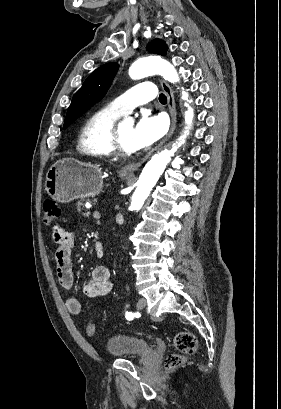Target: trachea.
<instances>
[{
	"mask_svg": "<svg viewBox=\"0 0 281 409\" xmlns=\"http://www.w3.org/2000/svg\"><path fill=\"white\" fill-rule=\"evenodd\" d=\"M159 101H160L161 103H167V97H166V95H164L163 93H161V94L159 95Z\"/></svg>",
	"mask_w": 281,
	"mask_h": 409,
	"instance_id": "trachea-1",
	"label": "trachea"
}]
</instances>
